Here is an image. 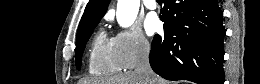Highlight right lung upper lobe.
I'll return each mask as SVG.
<instances>
[{"mask_svg": "<svg viewBox=\"0 0 260 84\" xmlns=\"http://www.w3.org/2000/svg\"><path fill=\"white\" fill-rule=\"evenodd\" d=\"M109 1L110 0H89L81 18L77 36L80 35L90 25L101 20V18L106 13Z\"/></svg>", "mask_w": 260, "mask_h": 84, "instance_id": "right-lung-upper-lobe-1", "label": "right lung upper lobe"}]
</instances>
